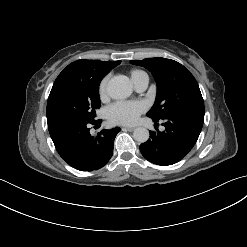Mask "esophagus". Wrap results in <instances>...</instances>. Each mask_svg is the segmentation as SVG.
I'll return each mask as SVG.
<instances>
[{"label": "esophagus", "mask_w": 247, "mask_h": 247, "mask_svg": "<svg viewBox=\"0 0 247 247\" xmlns=\"http://www.w3.org/2000/svg\"><path fill=\"white\" fill-rule=\"evenodd\" d=\"M122 130H124V131H134L135 127H123Z\"/></svg>", "instance_id": "esophagus-1"}]
</instances>
